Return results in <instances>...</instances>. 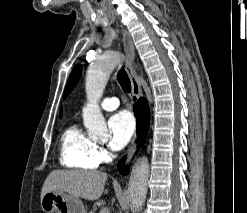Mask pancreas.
Here are the masks:
<instances>
[{"mask_svg":"<svg viewBox=\"0 0 247 213\" xmlns=\"http://www.w3.org/2000/svg\"><path fill=\"white\" fill-rule=\"evenodd\" d=\"M89 213H95V211L94 210H91Z\"/></svg>","mask_w":247,"mask_h":213,"instance_id":"obj_1","label":"pancreas"}]
</instances>
